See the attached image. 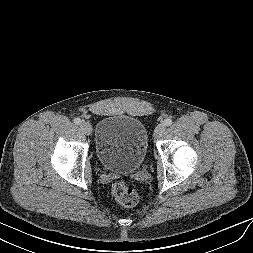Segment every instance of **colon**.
<instances>
[{
  "mask_svg": "<svg viewBox=\"0 0 253 253\" xmlns=\"http://www.w3.org/2000/svg\"><path fill=\"white\" fill-rule=\"evenodd\" d=\"M112 194L116 201L124 207H134L138 202V194L125 181H118L112 186Z\"/></svg>",
  "mask_w": 253,
  "mask_h": 253,
  "instance_id": "obj_1",
  "label": "colon"
}]
</instances>
